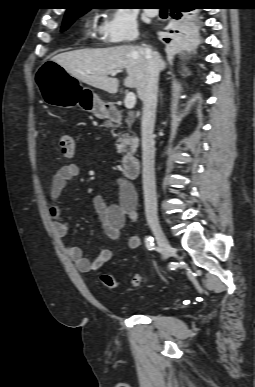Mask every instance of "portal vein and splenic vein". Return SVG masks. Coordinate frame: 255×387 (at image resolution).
I'll return each instance as SVG.
<instances>
[{"label": "portal vein and splenic vein", "instance_id": "portal-vein-and-splenic-vein-1", "mask_svg": "<svg viewBox=\"0 0 255 387\" xmlns=\"http://www.w3.org/2000/svg\"><path fill=\"white\" fill-rule=\"evenodd\" d=\"M111 76H115L116 72L110 73ZM125 107L127 109H133L136 104V96L133 92L127 93L125 100H124Z\"/></svg>", "mask_w": 255, "mask_h": 387}]
</instances>
